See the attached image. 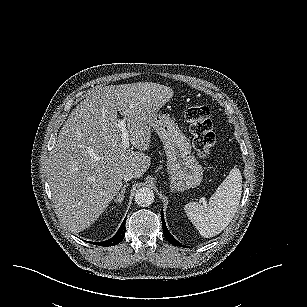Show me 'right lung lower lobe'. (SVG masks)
Segmentation results:
<instances>
[{"instance_id": "obj_1", "label": "right lung lower lobe", "mask_w": 307, "mask_h": 307, "mask_svg": "<svg viewBox=\"0 0 307 307\" xmlns=\"http://www.w3.org/2000/svg\"><path fill=\"white\" fill-rule=\"evenodd\" d=\"M125 221H126V219H124V221L121 224L117 233L112 238H110L109 240H106V241H103V242H91V243L94 244V245L106 246V247L117 245L125 237Z\"/></svg>"}]
</instances>
